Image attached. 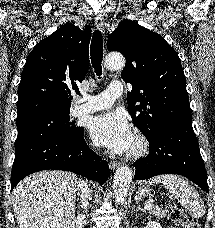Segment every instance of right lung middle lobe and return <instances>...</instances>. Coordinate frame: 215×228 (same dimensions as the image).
Returning <instances> with one entry per match:
<instances>
[{"label":"right lung middle lobe","mask_w":215,"mask_h":228,"mask_svg":"<svg viewBox=\"0 0 215 228\" xmlns=\"http://www.w3.org/2000/svg\"><path fill=\"white\" fill-rule=\"evenodd\" d=\"M70 112L48 114L17 122L18 136L15 147L27 142L48 137H65L77 139L83 128L72 126L69 118Z\"/></svg>","instance_id":"right-lung-middle-lobe-1"}]
</instances>
